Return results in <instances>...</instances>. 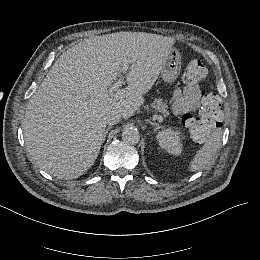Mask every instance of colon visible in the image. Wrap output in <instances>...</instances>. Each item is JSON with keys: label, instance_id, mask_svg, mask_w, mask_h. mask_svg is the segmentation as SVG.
I'll return each instance as SVG.
<instances>
[{"label": "colon", "instance_id": "1", "mask_svg": "<svg viewBox=\"0 0 260 260\" xmlns=\"http://www.w3.org/2000/svg\"><path fill=\"white\" fill-rule=\"evenodd\" d=\"M185 81L188 84L195 85L199 82H205L208 79V71L199 59H191L185 70ZM185 125L189 132L194 135L202 127V123H205L203 118L192 115H185Z\"/></svg>", "mask_w": 260, "mask_h": 260}]
</instances>
